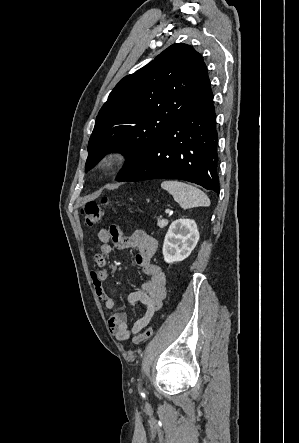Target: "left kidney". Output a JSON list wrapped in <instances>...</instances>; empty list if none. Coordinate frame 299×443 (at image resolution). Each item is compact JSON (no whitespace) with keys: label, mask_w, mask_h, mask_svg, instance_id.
<instances>
[{"label":"left kidney","mask_w":299,"mask_h":443,"mask_svg":"<svg viewBox=\"0 0 299 443\" xmlns=\"http://www.w3.org/2000/svg\"><path fill=\"white\" fill-rule=\"evenodd\" d=\"M199 232L194 220L178 219L171 223L163 243V256L166 263L186 259L196 247Z\"/></svg>","instance_id":"1"}]
</instances>
